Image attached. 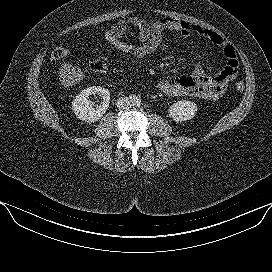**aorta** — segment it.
<instances>
[{"instance_id": "obj_1", "label": "aorta", "mask_w": 272, "mask_h": 272, "mask_svg": "<svg viewBox=\"0 0 272 272\" xmlns=\"http://www.w3.org/2000/svg\"><path fill=\"white\" fill-rule=\"evenodd\" d=\"M140 99L138 98V97H136V96H134L133 98H132V103H133V105H139L140 104Z\"/></svg>"}]
</instances>
